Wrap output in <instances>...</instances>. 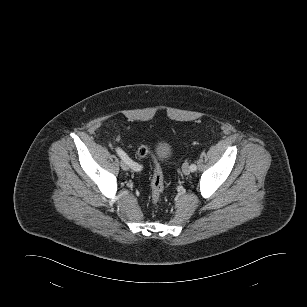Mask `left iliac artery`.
<instances>
[{"mask_svg": "<svg viewBox=\"0 0 307 307\" xmlns=\"http://www.w3.org/2000/svg\"><path fill=\"white\" fill-rule=\"evenodd\" d=\"M190 169H191L192 172H194V171L197 170V166L195 164H191Z\"/></svg>", "mask_w": 307, "mask_h": 307, "instance_id": "left-iliac-artery-1", "label": "left iliac artery"}]
</instances>
